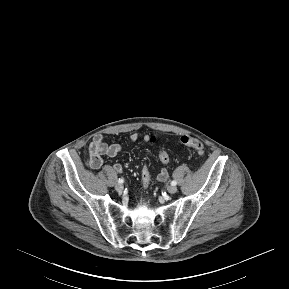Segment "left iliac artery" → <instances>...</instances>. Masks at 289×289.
I'll return each instance as SVG.
<instances>
[{
	"label": "left iliac artery",
	"instance_id": "left-iliac-artery-1",
	"mask_svg": "<svg viewBox=\"0 0 289 289\" xmlns=\"http://www.w3.org/2000/svg\"><path fill=\"white\" fill-rule=\"evenodd\" d=\"M177 184V182L175 181V180H173L172 182H171V185H176Z\"/></svg>",
	"mask_w": 289,
	"mask_h": 289
}]
</instances>
